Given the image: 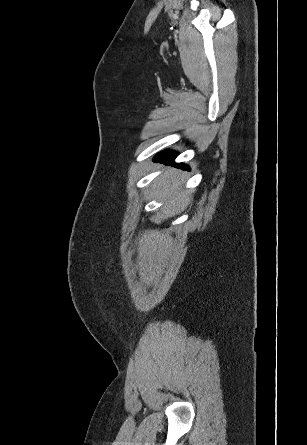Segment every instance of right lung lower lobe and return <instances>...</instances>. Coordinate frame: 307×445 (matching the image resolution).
I'll return each instance as SVG.
<instances>
[{
  "label": "right lung lower lobe",
  "mask_w": 307,
  "mask_h": 445,
  "mask_svg": "<svg viewBox=\"0 0 307 445\" xmlns=\"http://www.w3.org/2000/svg\"><path fill=\"white\" fill-rule=\"evenodd\" d=\"M177 156V154L175 152H164L161 154H158L155 157V161L156 162H161L164 164H169V165H173L177 168H181L184 170H189L188 166L184 165V164H173V160L175 159V157Z\"/></svg>",
  "instance_id": "obj_1"
}]
</instances>
